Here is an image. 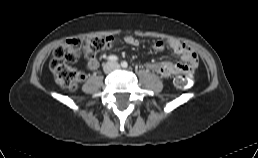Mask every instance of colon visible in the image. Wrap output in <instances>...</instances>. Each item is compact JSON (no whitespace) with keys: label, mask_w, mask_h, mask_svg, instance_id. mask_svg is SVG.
<instances>
[{"label":"colon","mask_w":258,"mask_h":158,"mask_svg":"<svg viewBox=\"0 0 258 158\" xmlns=\"http://www.w3.org/2000/svg\"><path fill=\"white\" fill-rule=\"evenodd\" d=\"M107 37H76L66 39L54 52L50 69L57 82L68 90H75L83 79V74L77 71L73 63L84 54L95 56L99 51L108 48ZM192 83L191 75L176 80L179 88H188Z\"/></svg>","instance_id":"obj_1"}]
</instances>
